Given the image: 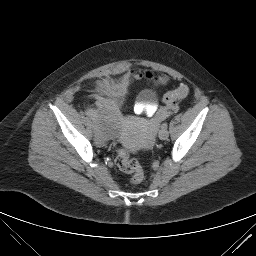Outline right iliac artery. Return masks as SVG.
I'll use <instances>...</instances> for the list:
<instances>
[{"label": "right iliac artery", "instance_id": "right-iliac-artery-1", "mask_svg": "<svg viewBox=\"0 0 256 256\" xmlns=\"http://www.w3.org/2000/svg\"><path fill=\"white\" fill-rule=\"evenodd\" d=\"M86 114H87L89 117H92V116L95 117L92 110H87V111H86Z\"/></svg>", "mask_w": 256, "mask_h": 256}]
</instances>
